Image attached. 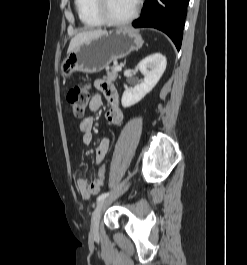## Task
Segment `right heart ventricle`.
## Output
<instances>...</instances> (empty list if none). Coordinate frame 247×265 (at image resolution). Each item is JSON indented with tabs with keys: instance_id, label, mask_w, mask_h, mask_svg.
<instances>
[{
	"instance_id": "obj_1",
	"label": "right heart ventricle",
	"mask_w": 247,
	"mask_h": 265,
	"mask_svg": "<svg viewBox=\"0 0 247 265\" xmlns=\"http://www.w3.org/2000/svg\"><path fill=\"white\" fill-rule=\"evenodd\" d=\"M95 0H74L75 8L79 19L87 27H100L104 22L96 13Z\"/></svg>"
}]
</instances>
